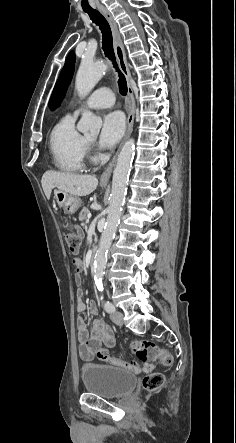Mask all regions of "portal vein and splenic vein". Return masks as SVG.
<instances>
[{
    "mask_svg": "<svg viewBox=\"0 0 236 443\" xmlns=\"http://www.w3.org/2000/svg\"><path fill=\"white\" fill-rule=\"evenodd\" d=\"M87 218H88V219H90V218H91V213H89V214L87 215Z\"/></svg>",
    "mask_w": 236,
    "mask_h": 443,
    "instance_id": "portal-vein-and-splenic-vein-1",
    "label": "portal vein and splenic vein"
}]
</instances>
